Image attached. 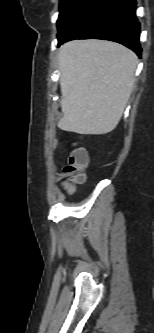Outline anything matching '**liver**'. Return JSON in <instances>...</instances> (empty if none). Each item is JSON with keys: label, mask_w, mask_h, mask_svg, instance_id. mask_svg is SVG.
<instances>
[{"label": "liver", "mask_w": 154, "mask_h": 333, "mask_svg": "<svg viewBox=\"0 0 154 333\" xmlns=\"http://www.w3.org/2000/svg\"><path fill=\"white\" fill-rule=\"evenodd\" d=\"M61 130L102 135L118 125L134 85L138 58L104 40H74L59 49Z\"/></svg>", "instance_id": "obj_1"}]
</instances>
